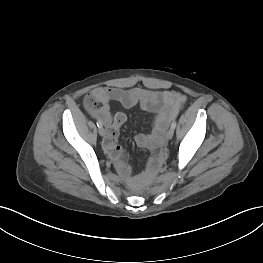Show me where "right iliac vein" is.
<instances>
[{"label": "right iliac vein", "instance_id": "obj_1", "mask_svg": "<svg viewBox=\"0 0 263 263\" xmlns=\"http://www.w3.org/2000/svg\"><path fill=\"white\" fill-rule=\"evenodd\" d=\"M99 134H100V136H105V129L103 128V127H100L99 128Z\"/></svg>", "mask_w": 263, "mask_h": 263}]
</instances>
